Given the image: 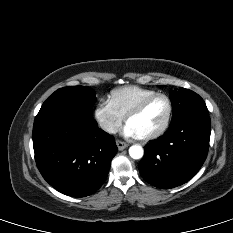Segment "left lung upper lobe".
Returning <instances> with one entry per match:
<instances>
[{
    "label": "left lung upper lobe",
    "mask_w": 233,
    "mask_h": 233,
    "mask_svg": "<svg viewBox=\"0 0 233 233\" xmlns=\"http://www.w3.org/2000/svg\"><path fill=\"white\" fill-rule=\"evenodd\" d=\"M170 98L172 100L173 109L171 122L177 121L194 113L208 114V109L203 99L198 94L189 89H175L171 92Z\"/></svg>",
    "instance_id": "obj_1"
}]
</instances>
